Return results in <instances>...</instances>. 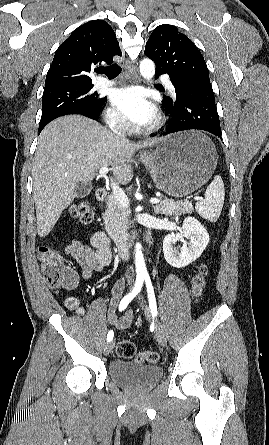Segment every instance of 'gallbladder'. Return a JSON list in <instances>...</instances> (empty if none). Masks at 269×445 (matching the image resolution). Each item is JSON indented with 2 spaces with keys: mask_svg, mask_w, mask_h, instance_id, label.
Returning <instances> with one entry per match:
<instances>
[{
  "mask_svg": "<svg viewBox=\"0 0 269 445\" xmlns=\"http://www.w3.org/2000/svg\"><path fill=\"white\" fill-rule=\"evenodd\" d=\"M92 190V185L89 183H80L76 187L75 197L83 198L90 194Z\"/></svg>",
  "mask_w": 269,
  "mask_h": 445,
  "instance_id": "1",
  "label": "gallbladder"
}]
</instances>
